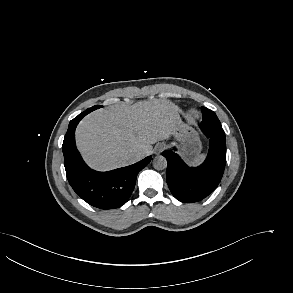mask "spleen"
<instances>
[{"mask_svg":"<svg viewBox=\"0 0 293 293\" xmlns=\"http://www.w3.org/2000/svg\"><path fill=\"white\" fill-rule=\"evenodd\" d=\"M204 155L203 154H201V155H199L193 162H192V164L193 165H198V164H200L203 160H204Z\"/></svg>","mask_w":293,"mask_h":293,"instance_id":"obj_1","label":"spleen"}]
</instances>
